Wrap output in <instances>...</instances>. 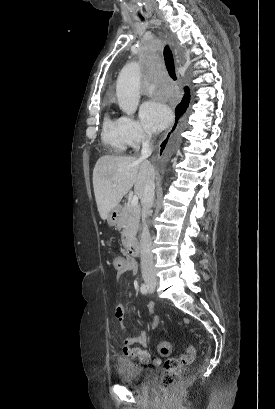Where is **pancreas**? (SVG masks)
<instances>
[{
  "instance_id": "obj_1",
  "label": "pancreas",
  "mask_w": 275,
  "mask_h": 409,
  "mask_svg": "<svg viewBox=\"0 0 275 409\" xmlns=\"http://www.w3.org/2000/svg\"><path fill=\"white\" fill-rule=\"evenodd\" d=\"M140 207L136 205H125L120 213V221L118 223V227H124L121 233L122 245L127 249L130 247L131 241L135 239L136 233L139 229V221H140Z\"/></svg>"
}]
</instances>
